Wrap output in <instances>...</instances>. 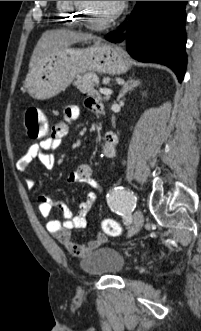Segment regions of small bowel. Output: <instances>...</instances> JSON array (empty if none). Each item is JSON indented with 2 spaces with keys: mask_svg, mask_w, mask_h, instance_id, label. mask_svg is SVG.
Wrapping results in <instances>:
<instances>
[{
  "mask_svg": "<svg viewBox=\"0 0 201 331\" xmlns=\"http://www.w3.org/2000/svg\"><path fill=\"white\" fill-rule=\"evenodd\" d=\"M86 107L98 115H104L102 104L95 99L86 100ZM80 110L75 105H69L64 108L62 118L54 124L49 134L37 143L30 145L25 153L17 160L16 167L27 181L30 189H33L34 183L27 176V168L34 159H39L46 167L55 165L56 159L54 151L57 150L63 138L68 134L69 125L79 117ZM118 143L117 135L112 131H107L103 138L102 153L103 156L112 160L115 156V150ZM69 183H83L93 189L100 190V184L94 179L92 168L88 164H81L69 175ZM96 200L94 191H88L83 201L79 203L77 213L64 203L53 201L44 194L38 196V211L43 218L48 219L46 228L60 244H62L73 256L78 258L86 257L95 247L100 245L97 240L89 241L87 244H77L71 240V231L73 229H82L87 225V215ZM56 206L63 215V221L50 218L52 208Z\"/></svg>",
  "mask_w": 201,
  "mask_h": 331,
  "instance_id": "obj_1",
  "label": "small bowel"
}]
</instances>
